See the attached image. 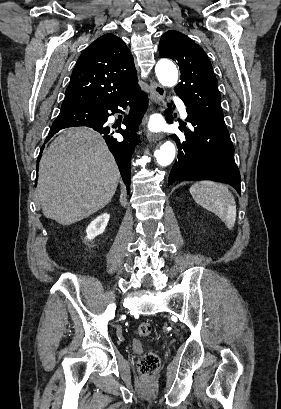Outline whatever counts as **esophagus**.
I'll return each instance as SVG.
<instances>
[{"label":"esophagus","instance_id":"obj_1","mask_svg":"<svg viewBox=\"0 0 281 409\" xmlns=\"http://www.w3.org/2000/svg\"><path fill=\"white\" fill-rule=\"evenodd\" d=\"M150 88L154 94V97L152 99V102H156L157 100H164L165 99V95H166V91L164 89V87H162V85H160L157 82H154L153 80H150ZM147 138L150 142H157L158 140H161L162 135L161 134H156V133H152V132H148L147 133Z\"/></svg>","mask_w":281,"mask_h":409}]
</instances>
